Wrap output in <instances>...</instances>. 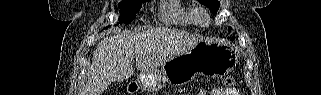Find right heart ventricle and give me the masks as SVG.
Wrapping results in <instances>:
<instances>
[{
    "label": "right heart ventricle",
    "mask_w": 321,
    "mask_h": 95,
    "mask_svg": "<svg viewBox=\"0 0 321 95\" xmlns=\"http://www.w3.org/2000/svg\"><path fill=\"white\" fill-rule=\"evenodd\" d=\"M160 18L166 24L187 25L198 23L197 13L182 1H167L160 9Z\"/></svg>",
    "instance_id": "e07e8e85"
}]
</instances>
